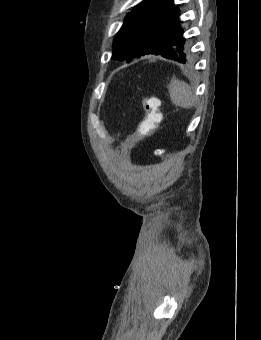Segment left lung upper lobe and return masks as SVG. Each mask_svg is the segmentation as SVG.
Listing matches in <instances>:
<instances>
[{
    "label": "left lung upper lobe",
    "mask_w": 261,
    "mask_h": 340,
    "mask_svg": "<svg viewBox=\"0 0 261 340\" xmlns=\"http://www.w3.org/2000/svg\"><path fill=\"white\" fill-rule=\"evenodd\" d=\"M167 0H144L129 13L114 40L112 58L126 60L170 50L186 62L190 44L177 19H167L161 9Z\"/></svg>",
    "instance_id": "obj_1"
}]
</instances>
